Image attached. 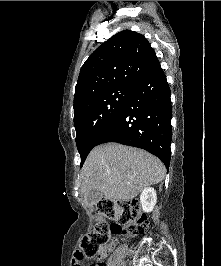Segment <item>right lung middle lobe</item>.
Masks as SVG:
<instances>
[{"mask_svg":"<svg viewBox=\"0 0 221 266\" xmlns=\"http://www.w3.org/2000/svg\"><path fill=\"white\" fill-rule=\"evenodd\" d=\"M133 87L117 86L85 97L74 111L76 145L83 165L101 133L123 109Z\"/></svg>","mask_w":221,"mask_h":266,"instance_id":"dd1d6c3e","label":"right lung middle lobe"}]
</instances>
